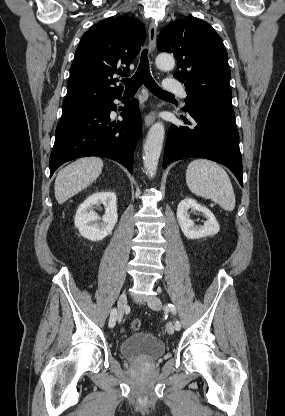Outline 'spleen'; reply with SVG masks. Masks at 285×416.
<instances>
[{
	"label": "spleen",
	"mask_w": 285,
	"mask_h": 416,
	"mask_svg": "<svg viewBox=\"0 0 285 416\" xmlns=\"http://www.w3.org/2000/svg\"><path fill=\"white\" fill-rule=\"evenodd\" d=\"M186 184L196 196L212 200L223 210L235 208V194L225 170L209 160H194L186 170Z\"/></svg>",
	"instance_id": "1"
}]
</instances>
